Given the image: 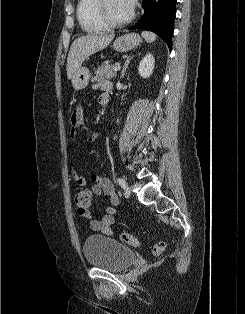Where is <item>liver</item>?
Returning <instances> with one entry per match:
<instances>
[{"label": "liver", "instance_id": "1", "mask_svg": "<svg viewBox=\"0 0 245 314\" xmlns=\"http://www.w3.org/2000/svg\"><path fill=\"white\" fill-rule=\"evenodd\" d=\"M114 34H88L77 38L71 45L67 58V77L72 79L82 63L92 54L106 48Z\"/></svg>", "mask_w": 245, "mask_h": 314}]
</instances>
